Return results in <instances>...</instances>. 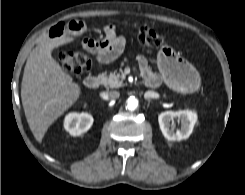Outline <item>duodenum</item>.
I'll return each instance as SVG.
<instances>
[{
  "mask_svg": "<svg viewBox=\"0 0 245 195\" xmlns=\"http://www.w3.org/2000/svg\"><path fill=\"white\" fill-rule=\"evenodd\" d=\"M144 85L148 88H156L160 84V80L155 77L145 76L143 79ZM101 79L98 76L89 75L84 79V85L88 89H96L99 87Z\"/></svg>",
  "mask_w": 245,
  "mask_h": 195,
  "instance_id": "1",
  "label": "duodenum"
}]
</instances>
